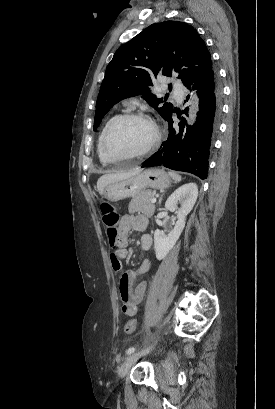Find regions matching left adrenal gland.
<instances>
[{"instance_id":"left-adrenal-gland-1","label":"left adrenal gland","mask_w":275,"mask_h":409,"mask_svg":"<svg viewBox=\"0 0 275 409\" xmlns=\"http://www.w3.org/2000/svg\"><path fill=\"white\" fill-rule=\"evenodd\" d=\"M163 194H164V192H163ZM163 194H161V196H160V198H159V205H160V202H161V200H162Z\"/></svg>"}]
</instances>
